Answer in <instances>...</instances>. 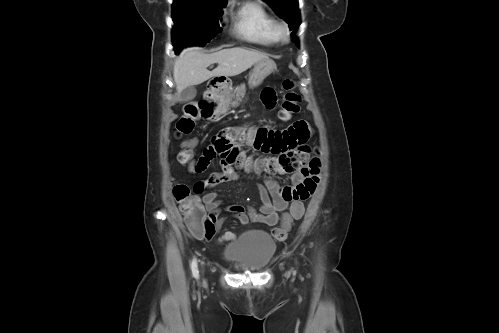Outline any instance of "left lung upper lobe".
<instances>
[{"mask_svg": "<svg viewBox=\"0 0 499 333\" xmlns=\"http://www.w3.org/2000/svg\"><path fill=\"white\" fill-rule=\"evenodd\" d=\"M273 10L282 17L295 34L300 25V13L298 8V0H264Z\"/></svg>", "mask_w": 499, "mask_h": 333, "instance_id": "1", "label": "left lung upper lobe"}]
</instances>
